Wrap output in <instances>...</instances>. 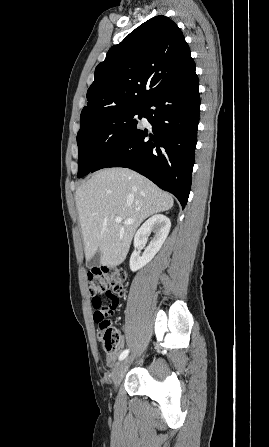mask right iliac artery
Wrapping results in <instances>:
<instances>
[{
    "mask_svg": "<svg viewBox=\"0 0 269 447\" xmlns=\"http://www.w3.org/2000/svg\"><path fill=\"white\" fill-rule=\"evenodd\" d=\"M128 353H129V350H128V349L124 350V351L121 353V355L119 356V360H123V359H125V358L128 356Z\"/></svg>",
    "mask_w": 269,
    "mask_h": 447,
    "instance_id": "82829eb1",
    "label": "right iliac artery"
}]
</instances>
